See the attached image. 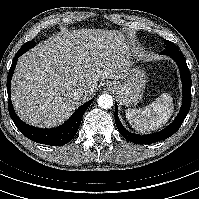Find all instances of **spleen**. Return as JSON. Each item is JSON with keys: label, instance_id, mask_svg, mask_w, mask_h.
Segmentation results:
<instances>
[{"label": "spleen", "instance_id": "spleen-1", "mask_svg": "<svg viewBox=\"0 0 199 199\" xmlns=\"http://www.w3.org/2000/svg\"><path fill=\"white\" fill-rule=\"evenodd\" d=\"M173 109L172 97L163 93L143 108L126 110V118L135 130L146 133L162 127L171 117Z\"/></svg>", "mask_w": 199, "mask_h": 199}]
</instances>
